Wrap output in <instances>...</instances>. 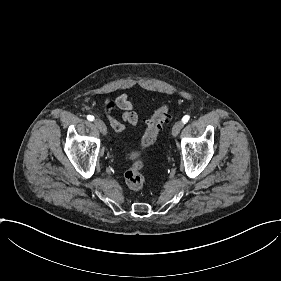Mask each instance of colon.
<instances>
[{
  "label": "colon",
  "mask_w": 281,
  "mask_h": 281,
  "mask_svg": "<svg viewBox=\"0 0 281 281\" xmlns=\"http://www.w3.org/2000/svg\"><path fill=\"white\" fill-rule=\"evenodd\" d=\"M171 114V105L168 101L160 103L150 115L147 126L140 138V148L148 150L156 144L161 129ZM144 162L140 159L134 160L129 169L123 175V182L132 190H140L145 184Z\"/></svg>",
  "instance_id": "obj_1"
}]
</instances>
